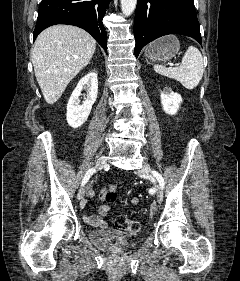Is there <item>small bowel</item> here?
<instances>
[{"mask_svg": "<svg viewBox=\"0 0 240 281\" xmlns=\"http://www.w3.org/2000/svg\"><path fill=\"white\" fill-rule=\"evenodd\" d=\"M103 197L104 192L97 194L93 190H89L87 192V198L91 199L95 196ZM137 202L136 198H133L131 200V203L135 204ZM87 205V200H84L81 202L80 207L81 209H84ZM110 210V206L108 204H102L98 206L93 213L89 214H84L83 219L91 227H96V228H105L107 223L104 219V217L108 214Z\"/></svg>", "mask_w": 240, "mask_h": 281, "instance_id": "small-bowel-1", "label": "small bowel"}]
</instances>
